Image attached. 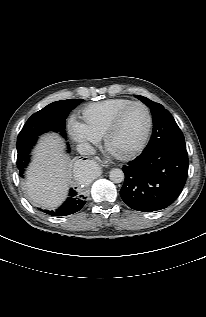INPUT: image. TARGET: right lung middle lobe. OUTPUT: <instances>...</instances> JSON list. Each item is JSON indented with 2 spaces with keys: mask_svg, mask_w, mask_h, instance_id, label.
<instances>
[{
  "mask_svg": "<svg viewBox=\"0 0 206 317\" xmlns=\"http://www.w3.org/2000/svg\"><path fill=\"white\" fill-rule=\"evenodd\" d=\"M82 101L83 99H68L50 103L27 120L17 138V166L20 176H23L24 168L29 162L28 154L38 136L49 130L65 136L66 118Z\"/></svg>",
  "mask_w": 206,
  "mask_h": 317,
  "instance_id": "obj_1",
  "label": "right lung middle lobe"
}]
</instances>
